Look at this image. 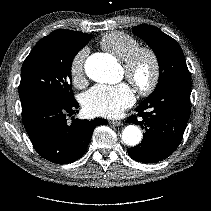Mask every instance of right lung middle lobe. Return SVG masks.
I'll return each mask as SVG.
<instances>
[{
    "label": "right lung middle lobe",
    "mask_w": 211,
    "mask_h": 211,
    "mask_svg": "<svg viewBox=\"0 0 211 211\" xmlns=\"http://www.w3.org/2000/svg\"><path fill=\"white\" fill-rule=\"evenodd\" d=\"M90 39L89 34L70 31L50 34L34 46L21 70L22 108L43 99L74 100L70 83L72 62Z\"/></svg>",
    "instance_id": "right-lung-middle-lobe-1"
}]
</instances>
